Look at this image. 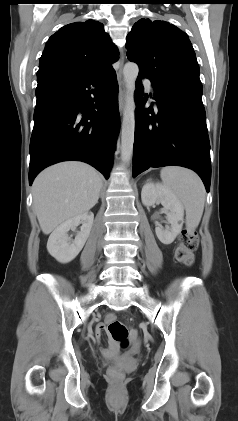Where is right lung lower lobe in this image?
<instances>
[{"mask_svg":"<svg viewBox=\"0 0 238 421\" xmlns=\"http://www.w3.org/2000/svg\"><path fill=\"white\" fill-rule=\"evenodd\" d=\"M37 81L29 184L45 167L66 160L89 163L109 178L120 126L114 69Z\"/></svg>","mask_w":238,"mask_h":421,"instance_id":"1","label":"right lung lower lobe"}]
</instances>
